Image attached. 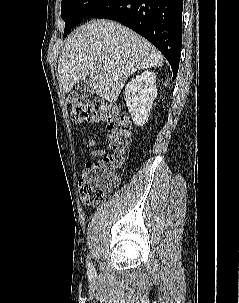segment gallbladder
I'll return each mask as SVG.
<instances>
[{"instance_id":"gallbladder-1","label":"gallbladder","mask_w":239,"mask_h":303,"mask_svg":"<svg viewBox=\"0 0 239 303\" xmlns=\"http://www.w3.org/2000/svg\"><path fill=\"white\" fill-rule=\"evenodd\" d=\"M76 90L84 95L91 96L94 94L93 85L90 78H85L75 84Z\"/></svg>"}]
</instances>
